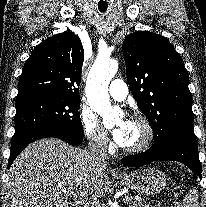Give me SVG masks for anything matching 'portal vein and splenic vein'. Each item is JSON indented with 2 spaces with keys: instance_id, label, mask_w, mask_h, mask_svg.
Instances as JSON below:
<instances>
[{
  "instance_id": "1",
  "label": "portal vein and splenic vein",
  "mask_w": 206,
  "mask_h": 207,
  "mask_svg": "<svg viewBox=\"0 0 206 207\" xmlns=\"http://www.w3.org/2000/svg\"><path fill=\"white\" fill-rule=\"evenodd\" d=\"M72 196L75 198V200H77L78 203H82V204H84L85 207H86L87 203L84 202L83 200H81V199L79 198V196H77L76 194H73ZM127 201H129V199H128ZM88 205H89V204H88ZM92 205L97 206L98 204H92ZM92 207H93V206H92Z\"/></svg>"
}]
</instances>
